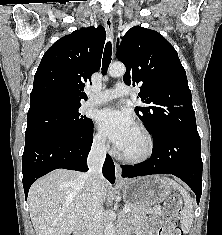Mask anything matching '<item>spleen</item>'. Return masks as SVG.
Returning <instances> with one entry per match:
<instances>
[{
  "instance_id": "3e777b00",
  "label": "spleen",
  "mask_w": 222,
  "mask_h": 235,
  "mask_svg": "<svg viewBox=\"0 0 222 235\" xmlns=\"http://www.w3.org/2000/svg\"><path fill=\"white\" fill-rule=\"evenodd\" d=\"M164 180L167 181L169 184L173 186V188L179 190L181 195L183 196L184 199V208L181 211V218H180V224H181V229L183 232L188 233L191 224L193 221V205H192V200L186 190L182 188L179 184H177L174 180H170L169 178H165Z\"/></svg>"
}]
</instances>
